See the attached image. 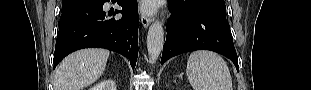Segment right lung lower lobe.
I'll return each mask as SVG.
<instances>
[{"label": "right lung lower lobe", "mask_w": 311, "mask_h": 90, "mask_svg": "<svg viewBox=\"0 0 311 90\" xmlns=\"http://www.w3.org/2000/svg\"><path fill=\"white\" fill-rule=\"evenodd\" d=\"M109 0H92L63 11L54 53V68L68 54L99 47L122 54L134 69L138 56V10L136 0H118L122 10H103ZM122 13L120 19L110 18Z\"/></svg>", "instance_id": "1"}]
</instances>
